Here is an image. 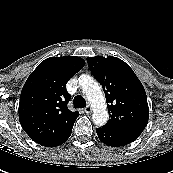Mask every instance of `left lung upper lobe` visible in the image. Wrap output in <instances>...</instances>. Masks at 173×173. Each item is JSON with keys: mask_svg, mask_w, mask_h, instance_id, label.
Wrapping results in <instances>:
<instances>
[{"mask_svg": "<svg viewBox=\"0 0 173 173\" xmlns=\"http://www.w3.org/2000/svg\"><path fill=\"white\" fill-rule=\"evenodd\" d=\"M87 62L105 92L109 121L104 127L138 138L149 118L147 96L140 80L117 57H88Z\"/></svg>", "mask_w": 173, "mask_h": 173, "instance_id": "1", "label": "left lung upper lobe"}]
</instances>
